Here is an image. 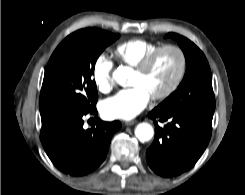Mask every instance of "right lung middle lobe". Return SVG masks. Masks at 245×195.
<instances>
[{"label":"right lung middle lobe","instance_id":"right-lung-middle-lobe-1","mask_svg":"<svg viewBox=\"0 0 245 195\" xmlns=\"http://www.w3.org/2000/svg\"><path fill=\"white\" fill-rule=\"evenodd\" d=\"M119 35L97 28L67 36L53 52L44 74L39 99L41 120L87 112L98 100L92 78L103 50Z\"/></svg>","mask_w":245,"mask_h":195}]
</instances>
